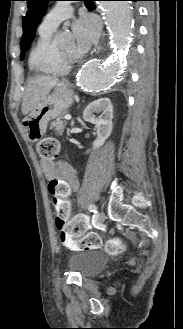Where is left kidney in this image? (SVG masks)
Returning <instances> with one entry per match:
<instances>
[{
    "instance_id": "left-kidney-1",
    "label": "left kidney",
    "mask_w": 183,
    "mask_h": 329,
    "mask_svg": "<svg viewBox=\"0 0 183 329\" xmlns=\"http://www.w3.org/2000/svg\"><path fill=\"white\" fill-rule=\"evenodd\" d=\"M101 112L100 116L94 115ZM83 119L97 127V138L93 143V149L101 147L112 132L113 106L110 99L100 98L91 102L83 112Z\"/></svg>"
}]
</instances>
